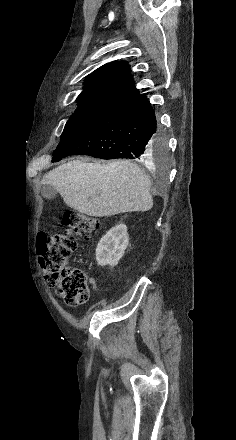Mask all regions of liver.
<instances>
[{
  "label": "liver",
  "mask_w": 236,
  "mask_h": 440,
  "mask_svg": "<svg viewBox=\"0 0 236 440\" xmlns=\"http://www.w3.org/2000/svg\"><path fill=\"white\" fill-rule=\"evenodd\" d=\"M41 183L52 185L68 207L88 216L109 217L153 207L149 177L127 160L69 161L46 173Z\"/></svg>",
  "instance_id": "liver-1"
}]
</instances>
